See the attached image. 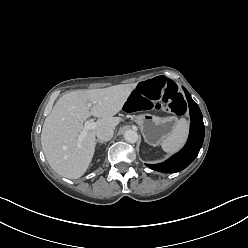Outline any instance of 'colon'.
Here are the masks:
<instances>
[{
	"mask_svg": "<svg viewBox=\"0 0 248 248\" xmlns=\"http://www.w3.org/2000/svg\"><path fill=\"white\" fill-rule=\"evenodd\" d=\"M162 107L176 115H182L186 111V103L178 87L163 78H156L137 86L125 104L129 113Z\"/></svg>",
	"mask_w": 248,
	"mask_h": 248,
	"instance_id": "obj_1",
	"label": "colon"
}]
</instances>
